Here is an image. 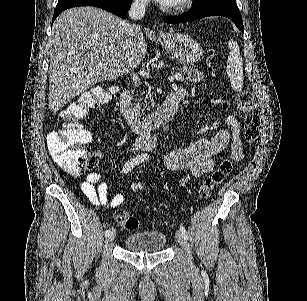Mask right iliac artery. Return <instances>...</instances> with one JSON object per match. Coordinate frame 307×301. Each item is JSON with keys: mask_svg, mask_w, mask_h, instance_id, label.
<instances>
[{"mask_svg": "<svg viewBox=\"0 0 307 301\" xmlns=\"http://www.w3.org/2000/svg\"><path fill=\"white\" fill-rule=\"evenodd\" d=\"M147 159V154H141L136 156L135 158L127 161L123 166V172L127 173L128 171H131L136 165L141 164ZM110 234V230L105 231V236L107 237Z\"/></svg>", "mask_w": 307, "mask_h": 301, "instance_id": "1", "label": "right iliac artery"}]
</instances>
